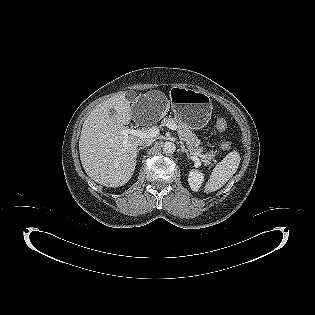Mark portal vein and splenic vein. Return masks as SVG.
<instances>
[{"label":"portal vein and splenic vein","instance_id":"1","mask_svg":"<svg viewBox=\"0 0 315 315\" xmlns=\"http://www.w3.org/2000/svg\"><path fill=\"white\" fill-rule=\"evenodd\" d=\"M165 126H167L171 130H177V126L173 123H167ZM121 133L126 137L129 134L137 136L139 138H153L156 137L159 134V129L154 127L149 130H139V129H131V128H126L121 131ZM126 139L124 140V143H126ZM205 158V155L202 154H197V153H192V160L199 162V158Z\"/></svg>","mask_w":315,"mask_h":315}]
</instances>
